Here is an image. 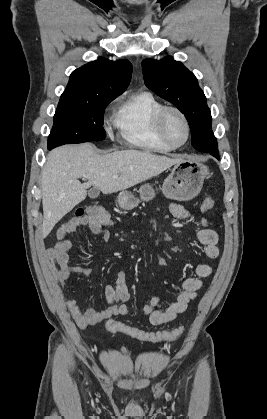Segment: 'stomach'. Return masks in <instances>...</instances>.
Instances as JSON below:
<instances>
[{
    "mask_svg": "<svg viewBox=\"0 0 267 419\" xmlns=\"http://www.w3.org/2000/svg\"><path fill=\"white\" fill-rule=\"evenodd\" d=\"M211 175L209 167L196 159H181L175 164L162 185L165 197L177 201L193 199L202 189L204 180ZM143 201L152 200L155 192L151 185L144 184L139 189ZM119 206L124 210H131L136 206V198L122 190L117 197Z\"/></svg>",
    "mask_w": 267,
    "mask_h": 419,
    "instance_id": "0dacf381",
    "label": "stomach"
}]
</instances>
